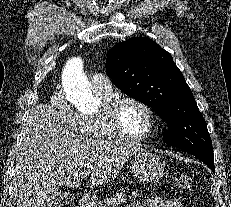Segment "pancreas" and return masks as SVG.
<instances>
[{"mask_svg":"<svg viewBox=\"0 0 231 207\" xmlns=\"http://www.w3.org/2000/svg\"><path fill=\"white\" fill-rule=\"evenodd\" d=\"M137 194L133 193L132 197H136ZM127 200L126 194L122 192H116L112 197L106 198L102 201H99L93 205V207H116L122 203H125Z\"/></svg>","mask_w":231,"mask_h":207,"instance_id":"cf45deb5","label":"pancreas"}]
</instances>
